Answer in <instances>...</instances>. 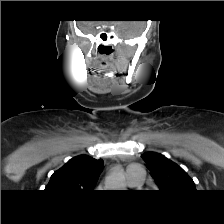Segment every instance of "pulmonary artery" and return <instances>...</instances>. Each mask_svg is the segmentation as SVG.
I'll return each mask as SVG.
<instances>
[{
  "label": "pulmonary artery",
  "instance_id": "e3ab8cb5",
  "mask_svg": "<svg viewBox=\"0 0 224 224\" xmlns=\"http://www.w3.org/2000/svg\"><path fill=\"white\" fill-rule=\"evenodd\" d=\"M127 181L131 186L142 185L144 174L143 171L137 167H129L127 169Z\"/></svg>",
  "mask_w": 224,
  "mask_h": 224
}]
</instances>
